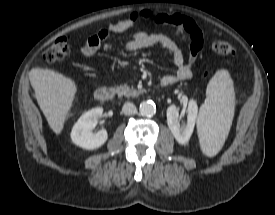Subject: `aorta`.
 I'll list each match as a JSON object with an SVG mask.
<instances>
[{
  "instance_id": "1",
  "label": "aorta",
  "mask_w": 275,
  "mask_h": 215,
  "mask_svg": "<svg viewBox=\"0 0 275 215\" xmlns=\"http://www.w3.org/2000/svg\"><path fill=\"white\" fill-rule=\"evenodd\" d=\"M139 112L142 116L152 117L156 113V106L151 101H143L139 106Z\"/></svg>"
}]
</instances>
